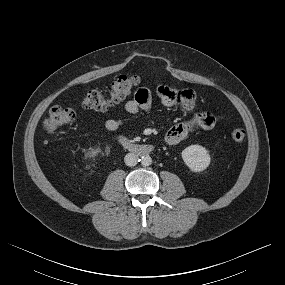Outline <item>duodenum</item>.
Listing matches in <instances>:
<instances>
[{
  "label": "duodenum",
  "instance_id": "1",
  "mask_svg": "<svg viewBox=\"0 0 285 285\" xmlns=\"http://www.w3.org/2000/svg\"><path fill=\"white\" fill-rule=\"evenodd\" d=\"M119 142L124 148L137 155H147L154 150L152 145L134 143L123 136L119 137Z\"/></svg>",
  "mask_w": 285,
  "mask_h": 285
}]
</instances>
